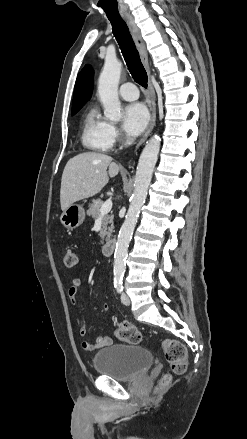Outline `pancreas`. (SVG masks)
I'll use <instances>...</instances> for the list:
<instances>
[{
  "instance_id": "cf45deb5",
  "label": "pancreas",
  "mask_w": 247,
  "mask_h": 439,
  "mask_svg": "<svg viewBox=\"0 0 247 439\" xmlns=\"http://www.w3.org/2000/svg\"><path fill=\"white\" fill-rule=\"evenodd\" d=\"M103 205V201L101 199L93 200L91 204H89V208L87 210V215L91 216L93 219H97L100 217V209ZM114 216L111 214H106L103 218L102 229L100 231L101 238H110L112 235L114 226H113Z\"/></svg>"
}]
</instances>
